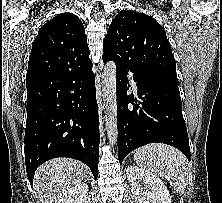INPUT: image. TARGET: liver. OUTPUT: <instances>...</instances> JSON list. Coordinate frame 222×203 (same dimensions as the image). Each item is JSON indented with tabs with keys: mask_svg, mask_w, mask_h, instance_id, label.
Masks as SVG:
<instances>
[{
	"mask_svg": "<svg viewBox=\"0 0 222 203\" xmlns=\"http://www.w3.org/2000/svg\"><path fill=\"white\" fill-rule=\"evenodd\" d=\"M86 176L84 165L69 158H55L42 164L34 175L37 203H58L72 186Z\"/></svg>",
	"mask_w": 222,
	"mask_h": 203,
	"instance_id": "liver-1",
	"label": "liver"
}]
</instances>
